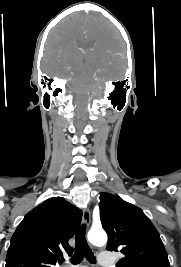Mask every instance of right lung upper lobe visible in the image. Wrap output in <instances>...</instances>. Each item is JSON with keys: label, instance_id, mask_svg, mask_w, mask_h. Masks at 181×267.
I'll return each mask as SVG.
<instances>
[{"label": "right lung upper lobe", "instance_id": "cb5924a9", "mask_svg": "<svg viewBox=\"0 0 181 267\" xmlns=\"http://www.w3.org/2000/svg\"><path fill=\"white\" fill-rule=\"evenodd\" d=\"M82 219V211L53 197L26 214L14 232L5 267H54L62 252H73L68 240Z\"/></svg>", "mask_w": 181, "mask_h": 267}]
</instances>
